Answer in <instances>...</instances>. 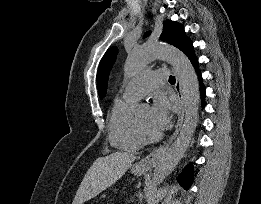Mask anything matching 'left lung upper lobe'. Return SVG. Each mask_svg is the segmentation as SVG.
<instances>
[{
  "mask_svg": "<svg viewBox=\"0 0 261 204\" xmlns=\"http://www.w3.org/2000/svg\"><path fill=\"white\" fill-rule=\"evenodd\" d=\"M150 33V31L146 32L144 37H147ZM161 39L179 48L180 50H182L190 41L189 38L185 37V32L182 25L171 20L164 21ZM117 53V47H111L106 51L100 61L97 72V86L100 97H104L106 95L108 74L115 61Z\"/></svg>",
  "mask_w": 261,
  "mask_h": 204,
  "instance_id": "5c2ea615",
  "label": "left lung upper lobe"
}]
</instances>
